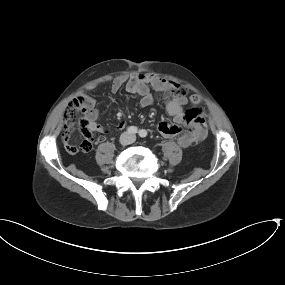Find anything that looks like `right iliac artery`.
Listing matches in <instances>:
<instances>
[{"label": "right iliac artery", "instance_id": "obj_1", "mask_svg": "<svg viewBox=\"0 0 285 285\" xmlns=\"http://www.w3.org/2000/svg\"><path fill=\"white\" fill-rule=\"evenodd\" d=\"M137 131H138V128L135 126H130L127 128V132L131 133V134H135V133H137Z\"/></svg>", "mask_w": 285, "mask_h": 285}]
</instances>
